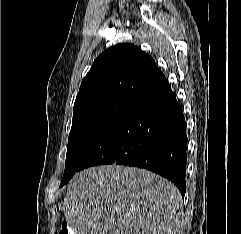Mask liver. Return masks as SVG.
Wrapping results in <instances>:
<instances>
[{
    "mask_svg": "<svg viewBox=\"0 0 241 234\" xmlns=\"http://www.w3.org/2000/svg\"><path fill=\"white\" fill-rule=\"evenodd\" d=\"M181 207V194L167 179L113 164L76 173L62 210L75 234H177Z\"/></svg>",
    "mask_w": 241,
    "mask_h": 234,
    "instance_id": "1",
    "label": "liver"
}]
</instances>
